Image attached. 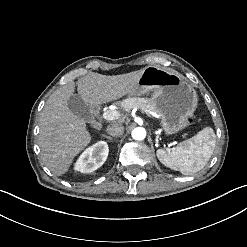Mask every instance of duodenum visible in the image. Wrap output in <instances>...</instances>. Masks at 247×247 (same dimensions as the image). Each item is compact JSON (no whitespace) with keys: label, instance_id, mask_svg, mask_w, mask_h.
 <instances>
[{"label":"duodenum","instance_id":"duodenum-1","mask_svg":"<svg viewBox=\"0 0 247 247\" xmlns=\"http://www.w3.org/2000/svg\"><path fill=\"white\" fill-rule=\"evenodd\" d=\"M91 111H92V113H93V115L94 116H97L98 114H99V108L98 107H96V106H92L91 107ZM97 125H100V123L99 122H97Z\"/></svg>","mask_w":247,"mask_h":247}]
</instances>
